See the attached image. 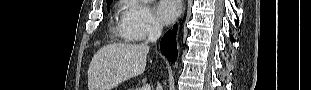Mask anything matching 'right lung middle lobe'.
I'll use <instances>...</instances> for the list:
<instances>
[{
	"label": "right lung middle lobe",
	"instance_id": "right-lung-middle-lobe-1",
	"mask_svg": "<svg viewBox=\"0 0 311 90\" xmlns=\"http://www.w3.org/2000/svg\"><path fill=\"white\" fill-rule=\"evenodd\" d=\"M110 4H111V1L107 4V9H108V11H109V6H110Z\"/></svg>",
	"mask_w": 311,
	"mask_h": 90
}]
</instances>
